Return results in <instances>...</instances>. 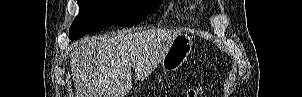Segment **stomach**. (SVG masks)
I'll return each mask as SVG.
<instances>
[{"label":"stomach","mask_w":302,"mask_h":97,"mask_svg":"<svg viewBox=\"0 0 302 97\" xmlns=\"http://www.w3.org/2000/svg\"><path fill=\"white\" fill-rule=\"evenodd\" d=\"M193 48V42L186 34L176 36L165 55L161 59V65L165 72L176 71L187 60Z\"/></svg>","instance_id":"0dacf381"}]
</instances>
